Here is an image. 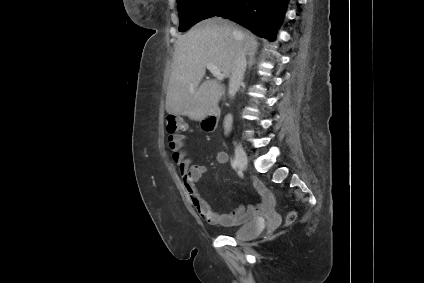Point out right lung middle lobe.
<instances>
[{"mask_svg":"<svg viewBox=\"0 0 424 283\" xmlns=\"http://www.w3.org/2000/svg\"><path fill=\"white\" fill-rule=\"evenodd\" d=\"M234 0H177L179 30L185 32L194 24L227 10Z\"/></svg>","mask_w":424,"mask_h":283,"instance_id":"right-lung-middle-lobe-1","label":"right lung middle lobe"}]
</instances>
